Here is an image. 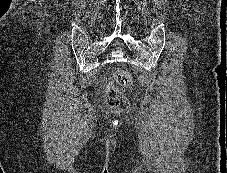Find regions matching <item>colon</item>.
<instances>
[{
  "label": "colon",
  "mask_w": 227,
  "mask_h": 173,
  "mask_svg": "<svg viewBox=\"0 0 227 173\" xmlns=\"http://www.w3.org/2000/svg\"><path fill=\"white\" fill-rule=\"evenodd\" d=\"M114 79L117 84L123 87H130L132 85V78L130 74L126 71H117L114 75ZM108 93V102L112 105L124 108L126 107V100L123 95L119 92V90L109 84L106 87Z\"/></svg>",
  "instance_id": "5ec220e1"
}]
</instances>
